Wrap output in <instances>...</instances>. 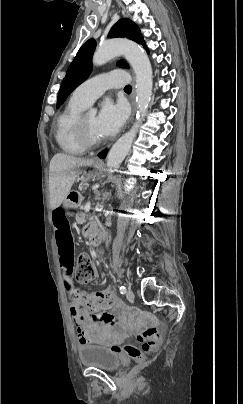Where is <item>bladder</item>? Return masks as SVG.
<instances>
[{"instance_id":"31cf9c89","label":"bladder","mask_w":243,"mask_h":404,"mask_svg":"<svg viewBox=\"0 0 243 404\" xmlns=\"http://www.w3.org/2000/svg\"><path fill=\"white\" fill-rule=\"evenodd\" d=\"M77 353L80 362L85 367L96 368L105 371H117L121 367L117 353L109 348L96 344H79Z\"/></svg>"}]
</instances>
